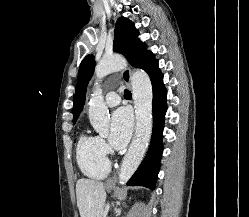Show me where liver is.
Listing matches in <instances>:
<instances>
[{"instance_id":"1","label":"liver","mask_w":249,"mask_h":217,"mask_svg":"<svg viewBox=\"0 0 249 217\" xmlns=\"http://www.w3.org/2000/svg\"><path fill=\"white\" fill-rule=\"evenodd\" d=\"M76 197L80 217H102L106 200L102 182L79 179L76 183Z\"/></svg>"}]
</instances>
